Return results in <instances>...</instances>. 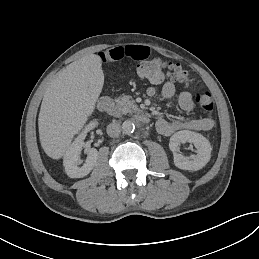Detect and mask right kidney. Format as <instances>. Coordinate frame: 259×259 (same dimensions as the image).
<instances>
[{
    "label": "right kidney",
    "instance_id": "right-kidney-1",
    "mask_svg": "<svg viewBox=\"0 0 259 259\" xmlns=\"http://www.w3.org/2000/svg\"><path fill=\"white\" fill-rule=\"evenodd\" d=\"M97 119H94L89 122V124L85 127L84 131L75 139V141L70 146L69 150L66 151L64 156V167L67 175L70 178H81L90 173V171L94 168L97 158L98 151L95 148H85V152L87 153V158L83 166L79 167L82 163L80 159V153L83 147H85L84 139L87 133L98 126Z\"/></svg>",
    "mask_w": 259,
    "mask_h": 259
}]
</instances>
